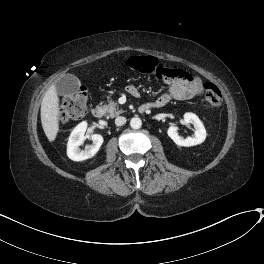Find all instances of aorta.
I'll return each mask as SVG.
<instances>
[{
  "mask_svg": "<svg viewBox=\"0 0 264 264\" xmlns=\"http://www.w3.org/2000/svg\"><path fill=\"white\" fill-rule=\"evenodd\" d=\"M141 125H142V121L138 117H134L130 121V126L133 129H139L141 127Z\"/></svg>",
  "mask_w": 264,
  "mask_h": 264,
  "instance_id": "1",
  "label": "aorta"
}]
</instances>
